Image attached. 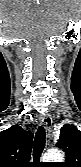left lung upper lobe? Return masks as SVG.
Here are the masks:
<instances>
[{"label":"left lung upper lobe","instance_id":"1","mask_svg":"<svg viewBox=\"0 0 81 167\" xmlns=\"http://www.w3.org/2000/svg\"><path fill=\"white\" fill-rule=\"evenodd\" d=\"M56 146L66 154V160L60 167H81V131L70 124L64 125Z\"/></svg>","mask_w":81,"mask_h":167}]
</instances>
